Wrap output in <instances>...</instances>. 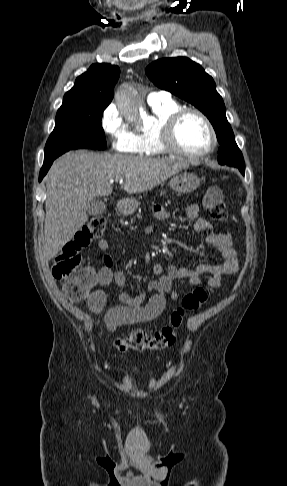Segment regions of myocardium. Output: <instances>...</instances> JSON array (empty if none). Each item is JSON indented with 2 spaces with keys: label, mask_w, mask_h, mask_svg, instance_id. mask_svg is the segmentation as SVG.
I'll list each match as a JSON object with an SVG mask.
<instances>
[{
  "label": "myocardium",
  "mask_w": 287,
  "mask_h": 486,
  "mask_svg": "<svg viewBox=\"0 0 287 486\" xmlns=\"http://www.w3.org/2000/svg\"><path fill=\"white\" fill-rule=\"evenodd\" d=\"M188 114L197 115L205 124L209 135H210V144L209 146L199 152H188L181 149L175 140V133L177 126L181 119ZM158 137L159 141L163 147V149L170 154L175 156L188 158V159H196L202 158L209 154H211L218 145V137L217 133L214 129L213 124L211 123L210 119L203 113L201 110L193 107H186L180 108L174 113H172L159 127L158 130Z\"/></svg>",
  "instance_id": "obj_1"
}]
</instances>
